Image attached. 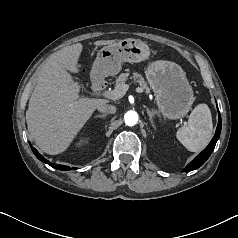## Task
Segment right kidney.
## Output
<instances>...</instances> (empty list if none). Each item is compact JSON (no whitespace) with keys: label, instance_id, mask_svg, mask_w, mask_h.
I'll return each instance as SVG.
<instances>
[{"label":"right kidney","instance_id":"right-kidney-1","mask_svg":"<svg viewBox=\"0 0 238 238\" xmlns=\"http://www.w3.org/2000/svg\"><path fill=\"white\" fill-rule=\"evenodd\" d=\"M83 142H87L86 140H81L78 145H81Z\"/></svg>","mask_w":238,"mask_h":238}]
</instances>
